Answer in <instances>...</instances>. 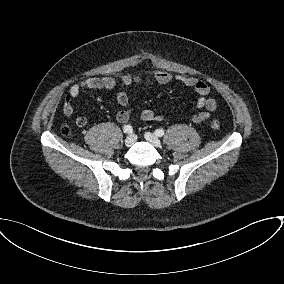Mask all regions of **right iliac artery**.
I'll list each match as a JSON object with an SVG mask.
<instances>
[{
    "label": "right iliac artery",
    "mask_w": 284,
    "mask_h": 284,
    "mask_svg": "<svg viewBox=\"0 0 284 284\" xmlns=\"http://www.w3.org/2000/svg\"><path fill=\"white\" fill-rule=\"evenodd\" d=\"M123 131L125 133H131L132 132V127L130 125H125L123 128Z\"/></svg>",
    "instance_id": "1"
}]
</instances>
